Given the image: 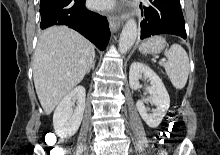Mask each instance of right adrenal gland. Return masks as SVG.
<instances>
[{
    "label": "right adrenal gland",
    "mask_w": 220,
    "mask_h": 155,
    "mask_svg": "<svg viewBox=\"0 0 220 155\" xmlns=\"http://www.w3.org/2000/svg\"><path fill=\"white\" fill-rule=\"evenodd\" d=\"M95 68V61H93L92 65L90 66V68L88 69L87 73L90 72V70Z\"/></svg>",
    "instance_id": "2a0ac1e0"
}]
</instances>
